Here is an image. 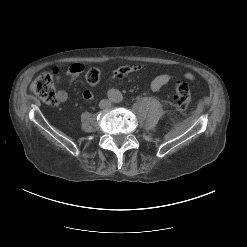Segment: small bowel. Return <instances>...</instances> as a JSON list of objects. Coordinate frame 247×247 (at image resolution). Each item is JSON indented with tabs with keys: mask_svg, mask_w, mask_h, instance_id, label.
Masks as SVG:
<instances>
[{
	"mask_svg": "<svg viewBox=\"0 0 247 247\" xmlns=\"http://www.w3.org/2000/svg\"><path fill=\"white\" fill-rule=\"evenodd\" d=\"M140 66L134 65V66H128V67H120L114 71L115 77H122L127 74H129L132 71H136L140 69ZM85 71V66L81 63H74L72 64L67 70L64 68H54L53 72L56 78V81L58 84H61L63 81V78L65 76L66 84L70 86L75 78L82 74ZM184 78L187 80H194V75L191 73H186L184 75ZM171 80V76L169 74H159L156 77L153 78L151 81V89L154 92H159L162 87L167 85ZM59 100L65 101L67 99V93L65 91H59L58 92ZM83 97L86 100H92L93 99V93L90 90H85L83 92Z\"/></svg>",
	"mask_w": 247,
	"mask_h": 247,
	"instance_id": "1",
	"label": "small bowel"
}]
</instances>
